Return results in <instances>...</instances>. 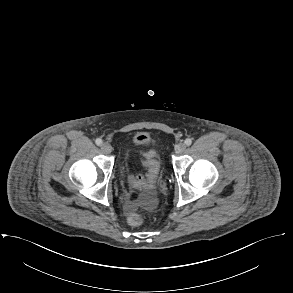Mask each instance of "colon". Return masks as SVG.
Wrapping results in <instances>:
<instances>
[{"label": "colon", "mask_w": 293, "mask_h": 293, "mask_svg": "<svg viewBox=\"0 0 293 293\" xmlns=\"http://www.w3.org/2000/svg\"><path fill=\"white\" fill-rule=\"evenodd\" d=\"M145 165L148 167V175L142 182L145 188H149L150 184L153 183L157 173H158V163L155 159V154L153 151H150L146 155ZM144 217L142 214H132L128 217V222L131 226L137 227L143 223Z\"/></svg>", "instance_id": "1"}]
</instances>
